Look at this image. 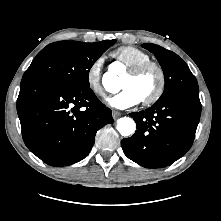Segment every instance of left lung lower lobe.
Instances as JSON below:
<instances>
[{"instance_id": "1", "label": "left lung lower lobe", "mask_w": 221, "mask_h": 221, "mask_svg": "<svg viewBox=\"0 0 221 221\" xmlns=\"http://www.w3.org/2000/svg\"><path fill=\"white\" fill-rule=\"evenodd\" d=\"M201 114L197 92H178L145 111L130 113L136 133L122 140L125 155L147 168H162L192 146Z\"/></svg>"}]
</instances>
